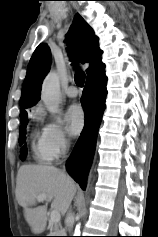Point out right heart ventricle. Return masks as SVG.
<instances>
[{
    "label": "right heart ventricle",
    "instance_id": "obj_1",
    "mask_svg": "<svg viewBox=\"0 0 158 237\" xmlns=\"http://www.w3.org/2000/svg\"><path fill=\"white\" fill-rule=\"evenodd\" d=\"M30 136L31 147L35 159L41 163H49L52 160V157L45 149L42 132H40L37 127H34Z\"/></svg>",
    "mask_w": 158,
    "mask_h": 237
}]
</instances>
